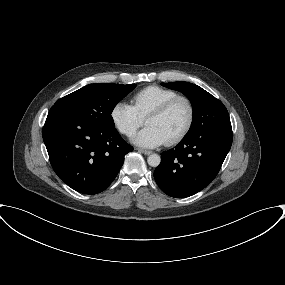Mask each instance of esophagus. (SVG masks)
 Listing matches in <instances>:
<instances>
[{"label": "esophagus", "instance_id": "obj_1", "mask_svg": "<svg viewBox=\"0 0 285 285\" xmlns=\"http://www.w3.org/2000/svg\"><path fill=\"white\" fill-rule=\"evenodd\" d=\"M138 152L143 153L145 155H149L152 153L150 150L142 149V148H137Z\"/></svg>", "mask_w": 285, "mask_h": 285}]
</instances>
